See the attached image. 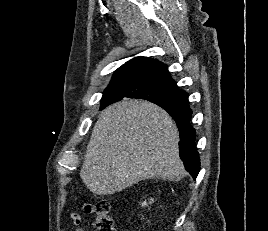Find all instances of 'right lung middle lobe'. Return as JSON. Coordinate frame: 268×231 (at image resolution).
<instances>
[{
  "label": "right lung middle lobe",
  "instance_id": "dd1d6c3e",
  "mask_svg": "<svg viewBox=\"0 0 268 231\" xmlns=\"http://www.w3.org/2000/svg\"><path fill=\"white\" fill-rule=\"evenodd\" d=\"M127 91L135 98L166 101L179 106L188 105V94L186 92L169 85L148 82L132 88H107L103 94L101 109L107 106L104 105V101Z\"/></svg>",
  "mask_w": 268,
  "mask_h": 231
}]
</instances>
